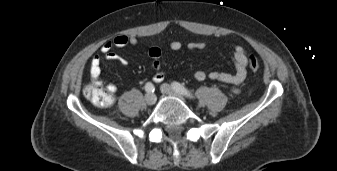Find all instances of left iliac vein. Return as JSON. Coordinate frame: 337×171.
I'll return each instance as SVG.
<instances>
[{
  "instance_id": "obj_1",
  "label": "left iliac vein",
  "mask_w": 337,
  "mask_h": 171,
  "mask_svg": "<svg viewBox=\"0 0 337 171\" xmlns=\"http://www.w3.org/2000/svg\"><path fill=\"white\" fill-rule=\"evenodd\" d=\"M161 91L162 93L166 95L173 96V97L179 98L182 101H185L183 96H181L178 92H176L169 84H166V83L162 84Z\"/></svg>"
}]
</instances>
